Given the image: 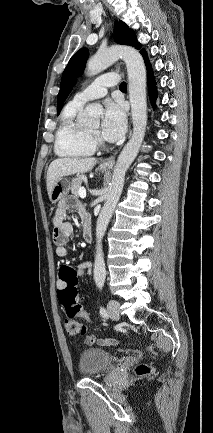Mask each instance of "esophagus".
<instances>
[{
    "label": "esophagus",
    "mask_w": 213,
    "mask_h": 433,
    "mask_svg": "<svg viewBox=\"0 0 213 433\" xmlns=\"http://www.w3.org/2000/svg\"><path fill=\"white\" fill-rule=\"evenodd\" d=\"M130 136H131V129L129 130V137ZM115 155L116 154H114V155H112V156L104 159L102 161V163H101V166L111 168L114 165V162H115Z\"/></svg>",
    "instance_id": "obj_1"
}]
</instances>
